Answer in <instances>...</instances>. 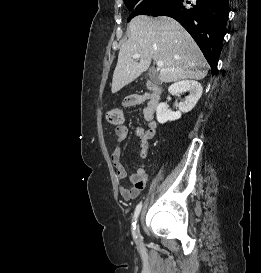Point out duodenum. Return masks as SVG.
Here are the masks:
<instances>
[{
  "label": "duodenum",
  "mask_w": 261,
  "mask_h": 273,
  "mask_svg": "<svg viewBox=\"0 0 261 273\" xmlns=\"http://www.w3.org/2000/svg\"><path fill=\"white\" fill-rule=\"evenodd\" d=\"M148 89L150 92V99H151V104L153 106H155L161 96V87L158 84H154V83H148Z\"/></svg>",
  "instance_id": "410a0bca"
}]
</instances>
